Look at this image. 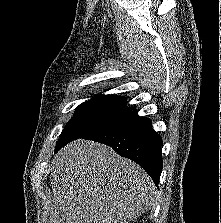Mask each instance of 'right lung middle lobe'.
Instances as JSON below:
<instances>
[{
  "instance_id": "right-lung-middle-lobe-1",
  "label": "right lung middle lobe",
  "mask_w": 221,
  "mask_h": 223,
  "mask_svg": "<svg viewBox=\"0 0 221 223\" xmlns=\"http://www.w3.org/2000/svg\"><path fill=\"white\" fill-rule=\"evenodd\" d=\"M132 110L134 108L109 101L91 99L82 103L75 109L74 116L62 131L55 152L75 139L124 118Z\"/></svg>"
}]
</instances>
